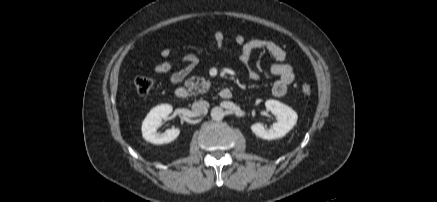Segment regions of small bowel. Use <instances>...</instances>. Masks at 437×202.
<instances>
[{
  "label": "small bowel",
  "instance_id": "obj_1",
  "mask_svg": "<svg viewBox=\"0 0 437 202\" xmlns=\"http://www.w3.org/2000/svg\"><path fill=\"white\" fill-rule=\"evenodd\" d=\"M225 41V36L221 31L214 33V44L218 51L223 49ZM234 44L240 47L238 59L246 66L248 76L252 80L260 79V74L250 66V59L255 51L264 50L277 61L269 69L270 74L276 77V80L272 84L271 91L274 96L283 97L287 93L288 86L292 84L295 79L294 68L291 64L286 62V51L271 40H246L242 35H237L234 38ZM160 55L164 58V61L154 65L153 69L158 74H167L172 71L175 65L173 60L174 52L170 48H162ZM180 63V69L173 72L170 76V80L174 85H180L183 82L198 65L199 58L192 53L186 54L181 58Z\"/></svg>",
  "mask_w": 437,
  "mask_h": 202
}]
</instances>
